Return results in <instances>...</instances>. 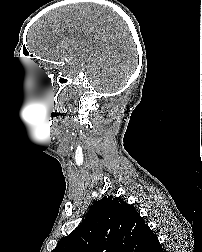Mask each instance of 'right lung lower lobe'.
Returning <instances> with one entry per match:
<instances>
[{
  "label": "right lung lower lobe",
  "instance_id": "obj_1",
  "mask_svg": "<svg viewBox=\"0 0 202 252\" xmlns=\"http://www.w3.org/2000/svg\"><path fill=\"white\" fill-rule=\"evenodd\" d=\"M155 252H165V251L162 249V246L160 245L159 247H157Z\"/></svg>",
  "mask_w": 202,
  "mask_h": 252
}]
</instances>
